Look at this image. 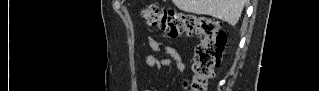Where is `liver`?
Segmentation results:
<instances>
[{
	"mask_svg": "<svg viewBox=\"0 0 319 91\" xmlns=\"http://www.w3.org/2000/svg\"><path fill=\"white\" fill-rule=\"evenodd\" d=\"M182 11L209 15L234 26L241 17L246 0H173Z\"/></svg>",
	"mask_w": 319,
	"mask_h": 91,
	"instance_id": "1",
	"label": "liver"
}]
</instances>
